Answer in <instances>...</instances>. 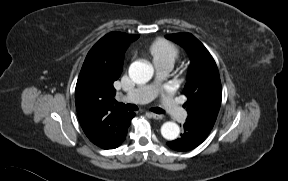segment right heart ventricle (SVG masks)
Returning a JSON list of instances; mask_svg holds the SVG:
<instances>
[{
  "label": "right heart ventricle",
  "mask_w": 288,
  "mask_h": 181,
  "mask_svg": "<svg viewBox=\"0 0 288 181\" xmlns=\"http://www.w3.org/2000/svg\"><path fill=\"white\" fill-rule=\"evenodd\" d=\"M149 52L154 62L168 61L174 64L179 57V49L174 44L163 39L153 42Z\"/></svg>",
  "instance_id": "1"
}]
</instances>
